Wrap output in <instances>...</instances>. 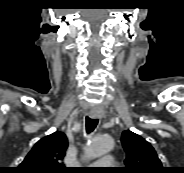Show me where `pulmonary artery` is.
Listing matches in <instances>:
<instances>
[{"instance_id": "1", "label": "pulmonary artery", "mask_w": 184, "mask_h": 173, "mask_svg": "<svg viewBox=\"0 0 184 173\" xmlns=\"http://www.w3.org/2000/svg\"><path fill=\"white\" fill-rule=\"evenodd\" d=\"M114 164V160L111 156H104L98 162L92 165V169H97L98 167L109 168Z\"/></svg>"}]
</instances>
